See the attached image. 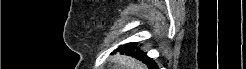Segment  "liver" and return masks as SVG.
<instances>
[{
  "mask_svg": "<svg viewBox=\"0 0 246 69\" xmlns=\"http://www.w3.org/2000/svg\"><path fill=\"white\" fill-rule=\"evenodd\" d=\"M116 69H147L140 61L125 55H116L113 58Z\"/></svg>",
  "mask_w": 246,
  "mask_h": 69,
  "instance_id": "1",
  "label": "liver"
}]
</instances>
